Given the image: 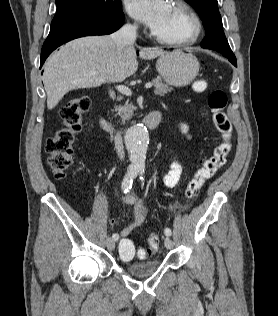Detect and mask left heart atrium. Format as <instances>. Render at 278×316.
Masks as SVG:
<instances>
[{
	"instance_id": "1",
	"label": "left heart atrium",
	"mask_w": 278,
	"mask_h": 316,
	"mask_svg": "<svg viewBox=\"0 0 278 316\" xmlns=\"http://www.w3.org/2000/svg\"><path fill=\"white\" fill-rule=\"evenodd\" d=\"M170 6L167 0H129L127 11L154 32L165 20Z\"/></svg>"
}]
</instances>
